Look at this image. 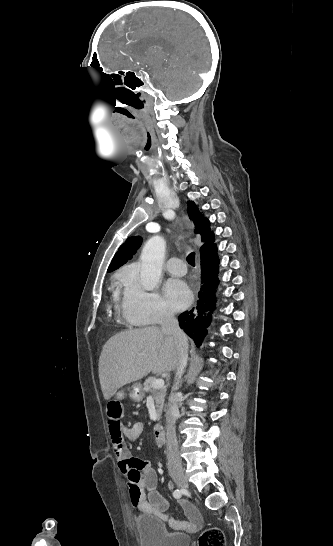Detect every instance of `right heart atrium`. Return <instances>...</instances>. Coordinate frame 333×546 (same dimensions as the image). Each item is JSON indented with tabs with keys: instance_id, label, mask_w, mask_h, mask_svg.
<instances>
[{
	"instance_id": "obj_1",
	"label": "right heart atrium",
	"mask_w": 333,
	"mask_h": 546,
	"mask_svg": "<svg viewBox=\"0 0 333 546\" xmlns=\"http://www.w3.org/2000/svg\"><path fill=\"white\" fill-rule=\"evenodd\" d=\"M124 292L121 302L123 319L133 325L158 324L173 317L163 298L146 290L133 273L123 276Z\"/></svg>"
}]
</instances>
